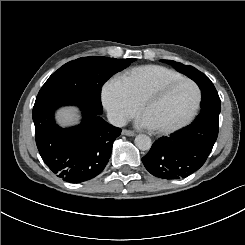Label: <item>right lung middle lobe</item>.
I'll list each match as a JSON object with an SVG mask.
<instances>
[{"label": "right lung middle lobe", "mask_w": 245, "mask_h": 245, "mask_svg": "<svg viewBox=\"0 0 245 245\" xmlns=\"http://www.w3.org/2000/svg\"><path fill=\"white\" fill-rule=\"evenodd\" d=\"M135 60L92 56L70 61L45 82L37 95L35 105L53 100L74 101L101 115L102 85L110 76L123 70Z\"/></svg>", "instance_id": "obj_1"}]
</instances>
